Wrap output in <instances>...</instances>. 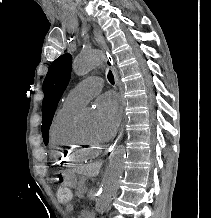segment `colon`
Here are the masks:
<instances>
[{"mask_svg":"<svg viewBox=\"0 0 211 218\" xmlns=\"http://www.w3.org/2000/svg\"><path fill=\"white\" fill-rule=\"evenodd\" d=\"M56 197L61 204H69L72 202L73 194L68 186L60 185L57 188Z\"/></svg>","mask_w":211,"mask_h":218,"instance_id":"colon-1","label":"colon"}]
</instances>
